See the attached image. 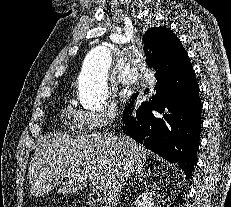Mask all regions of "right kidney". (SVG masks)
Returning a JSON list of instances; mask_svg holds the SVG:
<instances>
[{
  "label": "right kidney",
  "instance_id": "ca27d5eb",
  "mask_svg": "<svg viewBox=\"0 0 231 207\" xmlns=\"http://www.w3.org/2000/svg\"><path fill=\"white\" fill-rule=\"evenodd\" d=\"M153 193L146 190L141 193L135 200L136 207H153L154 206V197Z\"/></svg>",
  "mask_w": 231,
  "mask_h": 207
}]
</instances>
